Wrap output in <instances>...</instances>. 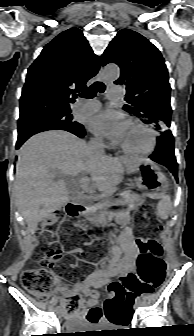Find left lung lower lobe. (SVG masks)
<instances>
[{
    "label": "left lung lower lobe",
    "instance_id": "obj_1",
    "mask_svg": "<svg viewBox=\"0 0 194 336\" xmlns=\"http://www.w3.org/2000/svg\"><path fill=\"white\" fill-rule=\"evenodd\" d=\"M150 158L153 161L166 166L177 179V162L174 154V139L170 130H163L158 139L156 150Z\"/></svg>",
    "mask_w": 194,
    "mask_h": 336
}]
</instances>
